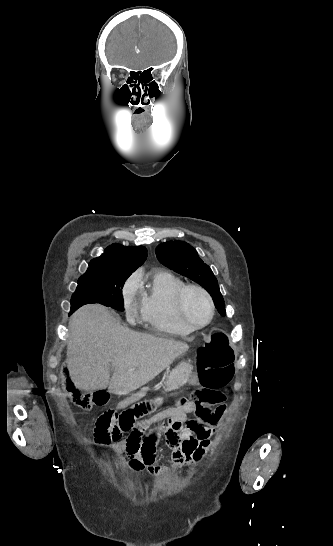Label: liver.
<instances>
[{
	"mask_svg": "<svg viewBox=\"0 0 333 546\" xmlns=\"http://www.w3.org/2000/svg\"><path fill=\"white\" fill-rule=\"evenodd\" d=\"M67 367L77 389H106L127 395L144 386L180 355L188 344L137 333L116 322L100 304L78 309L69 321ZM110 366L114 373L110 379Z\"/></svg>",
	"mask_w": 333,
	"mask_h": 546,
	"instance_id": "1",
	"label": "liver"
}]
</instances>
